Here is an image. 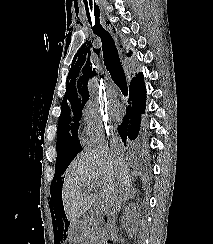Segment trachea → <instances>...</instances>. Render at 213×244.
Segmentation results:
<instances>
[{
  "label": "trachea",
  "mask_w": 213,
  "mask_h": 244,
  "mask_svg": "<svg viewBox=\"0 0 213 244\" xmlns=\"http://www.w3.org/2000/svg\"><path fill=\"white\" fill-rule=\"evenodd\" d=\"M87 15H90L95 19V25L93 27L94 32L101 38L103 58L106 69L109 71L113 81L124 93L128 92L126 77L121 66L118 51L115 46V42L112 36L100 25V12L98 7L87 9Z\"/></svg>",
  "instance_id": "trachea-1"
}]
</instances>
